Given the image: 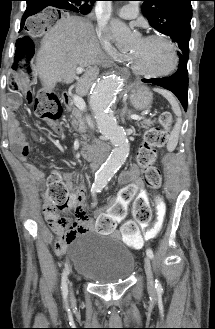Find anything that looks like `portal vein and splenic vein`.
<instances>
[{
	"mask_svg": "<svg viewBox=\"0 0 215 329\" xmlns=\"http://www.w3.org/2000/svg\"><path fill=\"white\" fill-rule=\"evenodd\" d=\"M83 71H84L83 67L76 68V73H82ZM72 99H73V102L76 105V107L79 109V111L84 112L86 109V104H85L84 100L82 99V97H80L79 95H74ZM130 118L132 120L143 119V117L139 116V115H131Z\"/></svg>",
	"mask_w": 215,
	"mask_h": 329,
	"instance_id": "1",
	"label": "portal vein and splenic vein"
}]
</instances>
